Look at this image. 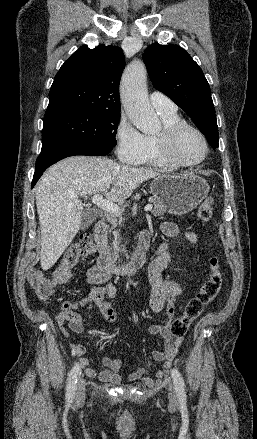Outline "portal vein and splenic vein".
Returning a JSON list of instances; mask_svg holds the SVG:
<instances>
[{"label": "portal vein and splenic vein", "instance_id": "1", "mask_svg": "<svg viewBox=\"0 0 257 439\" xmlns=\"http://www.w3.org/2000/svg\"><path fill=\"white\" fill-rule=\"evenodd\" d=\"M71 197H76V195H71ZM92 202L97 205L99 208L116 215H120V208L109 200L103 199L102 194H95L91 198ZM153 208L152 204H147L144 208L146 212L151 211Z\"/></svg>", "mask_w": 257, "mask_h": 439}]
</instances>
